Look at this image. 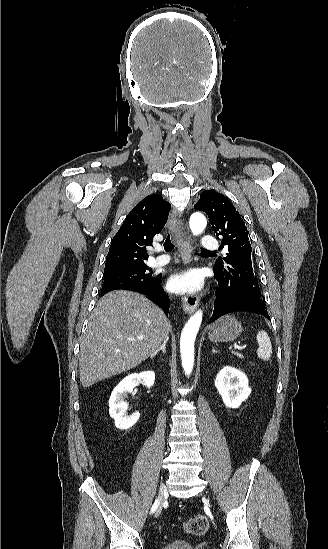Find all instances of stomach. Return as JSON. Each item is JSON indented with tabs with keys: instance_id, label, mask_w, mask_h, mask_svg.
Listing matches in <instances>:
<instances>
[{
	"instance_id": "stomach-1",
	"label": "stomach",
	"mask_w": 328,
	"mask_h": 549,
	"mask_svg": "<svg viewBox=\"0 0 328 549\" xmlns=\"http://www.w3.org/2000/svg\"><path fill=\"white\" fill-rule=\"evenodd\" d=\"M242 331V325L235 317L224 315L217 319L213 325H210L208 339L212 343H227V341L237 339Z\"/></svg>"
}]
</instances>
